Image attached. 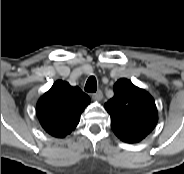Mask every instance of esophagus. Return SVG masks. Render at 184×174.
<instances>
[{
  "instance_id": "obj_1",
  "label": "esophagus",
  "mask_w": 184,
  "mask_h": 174,
  "mask_svg": "<svg viewBox=\"0 0 184 174\" xmlns=\"http://www.w3.org/2000/svg\"><path fill=\"white\" fill-rule=\"evenodd\" d=\"M102 98H103V93L101 91H98V92L92 94L93 100L101 101Z\"/></svg>"
}]
</instances>
